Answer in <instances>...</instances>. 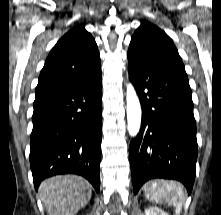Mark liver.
Listing matches in <instances>:
<instances>
[{
    "label": "liver",
    "instance_id": "6515ba94",
    "mask_svg": "<svg viewBox=\"0 0 221 215\" xmlns=\"http://www.w3.org/2000/svg\"><path fill=\"white\" fill-rule=\"evenodd\" d=\"M40 198L49 215H74L91 199L92 187L76 175H59L44 180Z\"/></svg>",
    "mask_w": 221,
    "mask_h": 215
}]
</instances>
